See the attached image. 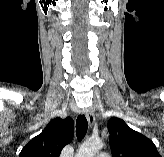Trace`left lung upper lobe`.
<instances>
[{
  "label": "left lung upper lobe",
  "mask_w": 164,
  "mask_h": 157,
  "mask_svg": "<svg viewBox=\"0 0 164 157\" xmlns=\"http://www.w3.org/2000/svg\"><path fill=\"white\" fill-rule=\"evenodd\" d=\"M108 131L113 157H161L150 139L119 118L108 121Z\"/></svg>",
  "instance_id": "5c2ea615"
}]
</instances>
